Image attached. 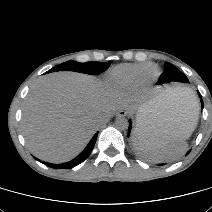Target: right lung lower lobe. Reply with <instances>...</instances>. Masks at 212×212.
I'll list each match as a JSON object with an SVG mask.
<instances>
[{
    "label": "right lung lower lobe",
    "mask_w": 212,
    "mask_h": 212,
    "mask_svg": "<svg viewBox=\"0 0 212 212\" xmlns=\"http://www.w3.org/2000/svg\"><path fill=\"white\" fill-rule=\"evenodd\" d=\"M46 73H49V71H47ZM97 135H98V133H96L93 136V138L91 139V141L89 142L87 147L73 160L66 162V163H63V164H52V163H47V162H44V161H42V163L45 164L48 167H52V168H55V169H57V168L67 169V168H73V167L79 165L80 163L85 161L88 158V156L90 155V153H91V151H92V149L95 145Z\"/></svg>",
    "instance_id": "98d812e1"
}]
</instances>
